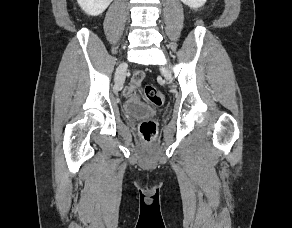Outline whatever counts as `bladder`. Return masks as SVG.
Listing matches in <instances>:
<instances>
[{
	"instance_id": "obj_1",
	"label": "bladder",
	"mask_w": 292,
	"mask_h": 228,
	"mask_svg": "<svg viewBox=\"0 0 292 228\" xmlns=\"http://www.w3.org/2000/svg\"><path fill=\"white\" fill-rule=\"evenodd\" d=\"M124 111L132 117H148L154 114V110L151 107L137 100L128 101L124 106Z\"/></svg>"
}]
</instances>
